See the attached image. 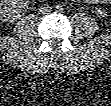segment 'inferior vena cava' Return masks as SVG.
<instances>
[{"mask_svg": "<svg viewBox=\"0 0 111 106\" xmlns=\"http://www.w3.org/2000/svg\"><path fill=\"white\" fill-rule=\"evenodd\" d=\"M51 11H52V8L48 5H44V6L40 7V9H39L40 14H42V15L47 14Z\"/></svg>", "mask_w": 111, "mask_h": 106, "instance_id": "1", "label": "inferior vena cava"}]
</instances>
